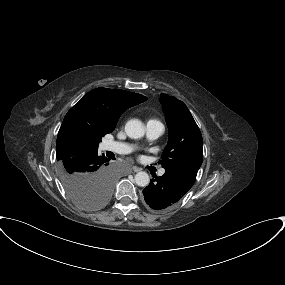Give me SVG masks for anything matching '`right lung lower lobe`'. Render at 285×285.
Returning a JSON list of instances; mask_svg holds the SVG:
<instances>
[{"label": "right lung lower lobe", "mask_w": 285, "mask_h": 285, "mask_svg": "<svg viewBox=\"0 0 285 285\" xmlns=\"http://www.w3.org/2000/svg\"><path fill=\"white\" fill-rule=\"evenodd\" d=\"M70 160L85 174L112 173L108 167L109 159L99 155L98 149L79 153Z\"/></svg>", "instance_id": "98d812e1"}]
</instances>
